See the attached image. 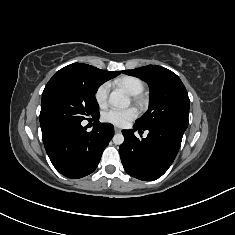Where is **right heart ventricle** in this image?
I'll return each instance as SVG.
<instances>
[{
    "label": "right heart ventricle",
    "instance_id": "e07e8e85",
    "mask_svg": "<svg viewBox=\"0 0 235 235\" xmlns=\"http://www.w3.org/2000/svg\"><path fill=\"white\" fill-rule=\"evenodd\" d=\"M117 83L133 96L140 94L144 89L143 82L139 78L133 76H124L120 78Z\"/></svg>",
    "mask_w": 235,
    "mask_h": 235
}]
</instances>
